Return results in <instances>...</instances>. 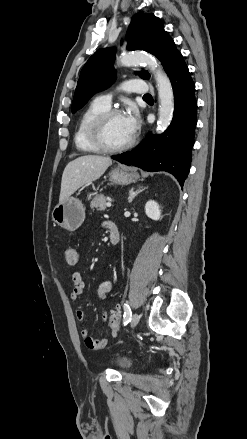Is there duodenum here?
Wrapping results in <instances>:
<instances>
[{
	"mask_svg": "<svg viewBox=\"0 0 247 439\" xmlns=\"http://www.w3.org/2000/svg\"><path fill=\"white\" fill-rule=\"evenodd\" d=\"M108 231L111 244L116 245L120 240V232L118 227L115 224L110 223L108 226Z\"/></svg>",
	"mask_w": 247,
	"mask_h": 439,
	"instance_id": "410a0bca",
	"label": "duodenum"
}]
</instances>
